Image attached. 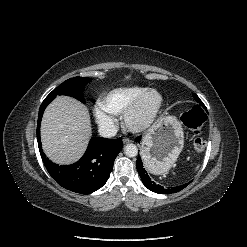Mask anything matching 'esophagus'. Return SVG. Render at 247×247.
Masks as SVG:
<instances>
[{
	"instance_id": "34e87169",
	"label": "esophagus",
	"mask_w": 247,
	"mask_h": 247,
	"mask_svg": "<svg viewBox=\"0 0 247 247\" xmlns=\"http://www.w3.org/2000/svg\"><path fill=\"white\" fill-rule=\"evenodd\" d=\"M130 142H132L131 139H129V138H123V143H124V144H128V143H130Z\"/></svg>"
}]
</instances>
